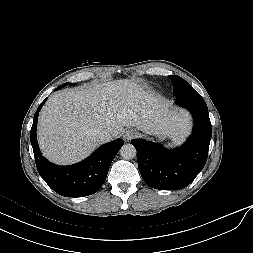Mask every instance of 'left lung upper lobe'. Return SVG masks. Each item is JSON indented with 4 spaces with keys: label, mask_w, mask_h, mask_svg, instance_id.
<instances>
[{
    "label": "left lung upper lobe",
    "mask_w": 253,
    "mask_h": 253,
    "mask_svg": "<svg viewBox=\"0 0 253 253\" xmlns=\"http://www.w3.org/2000/svg\"><path fill=\"white\" fill-rule=\"evenodd\" d=\"M169 78L174 85L173 92L176 97H180L195 91V89L183 78L177 75H170Z\"/></svg>",
    "instance_id": "left-lung-upper-lobe-1"
}]
</instances>
